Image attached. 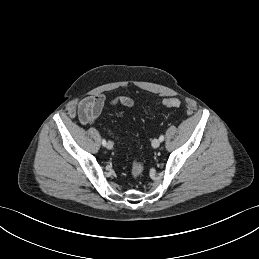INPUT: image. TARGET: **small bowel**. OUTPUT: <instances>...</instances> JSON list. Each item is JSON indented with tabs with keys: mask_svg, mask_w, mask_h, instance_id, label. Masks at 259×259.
Listing matches in <instances>:
<instances>
[{
	"mask_svg": "<svg viewBox=\"0 0 259 259\" xmlns=\"http://www.w3.org/2000/svg\"><path fill=\"white\" fill-rule=\"evenodd\" d=\"M112 104H120L124 107H132V99L121 96L113 100ZM106 101L103 95L90 96L83 99L79 104V119L82 124L94 123L105 111Z\"/></svg>",
	"mask_w": 259,
	"mask_h": 259,
	"instance_id": "c3829d8e",
	"label": "small bowel"
}]
</instances>
